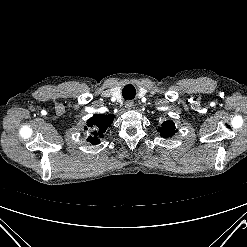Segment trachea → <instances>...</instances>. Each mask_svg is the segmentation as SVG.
<instances>
[{
  "instance_id": "trachea-1",
  "label": "trachea",
  "mask_w": 247,
  "mask_h": 247,
  "mask_svg": "<svg viewBox=\"0 0 247 247\" xmlns=\"http://www.w3.org/2000/svg\"><path fill=\"white\" fill-rule=\"evenodd\" d=\"M136 89L133 85H126L122 90V95L125 100H132L135 97Z\"/></svg>"
}]
</instances>
